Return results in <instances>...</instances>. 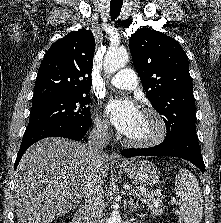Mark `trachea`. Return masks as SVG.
<instances>
[{
	"mask_svg": "<svg viewBox=\"0 0 221 223\" xmlns=\"http://www.w3.org/2000/svg\"><path fill=\"white\" fill-rule=\"evenodd\" d=\"M123 5V0H111L110 2V16L111 19L114 21L117 19L121 12V8Z\"/></svg>",
	"mask_w": 221,
	"mask_h": 223,
	"instance_id": "obj_1",
	"label": "trachea"
}]
</instances>
